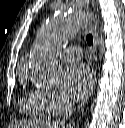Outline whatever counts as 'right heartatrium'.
<instances>
[{"label":"right heart atrium","mask_w":125,"mask_h":128,"mask_svg":"<svg viewBox=\"0 0 125 128\" xmlns=\"http://www.w3.org/2000/svg\"><path fill=\"white\" fill-rule=\"evenodd\" d=\"M49 113L58 114L68 107V102L56 91L47 88H41L35 91Z\"/></svg>","instance_id":"1"}]
</instances>
